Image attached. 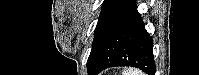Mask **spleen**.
Returning a JSON list of instances; mask_svg holds the SVG:
<instances>
[{"label": "spleen", "mask_w": 199, "mask_h": 75, "mask_svg": "<svg viewBox=\"0 0 199 75\" xmlns=\"http://www.w3.org/2000/svg\"><path fill=\"white\" fill-rule=\"evenodd\" d=\"M123 75H143V73L137 69H128L123 73Z\"/></svg>", "instance_id": "3e777b00"}]
</instances>
